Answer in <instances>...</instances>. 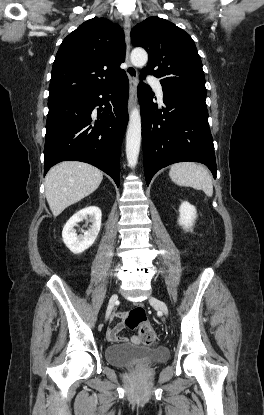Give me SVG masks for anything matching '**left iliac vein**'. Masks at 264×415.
Returning <instances> with one entry per match:
<instances>
[{
  "instance_id": "1",
  "label": "left iliac vein",
  "mask_w": 264,
  "mask_h": 415,
  "mask_svg": "<svg viewBox=\"0 0 264 415\" xmlns=\"http://www.w3.org/2000/svg\"><path fill=\"white\" fill-rule=\"evenodd\" d=\"M149 301L152 305L158 307V309L160 311H162L166 316L169 314V310H168L167 305L163 301H161L160 299H157V298L151 296L149 298Z\"/></svg>"
}]
</instances>
